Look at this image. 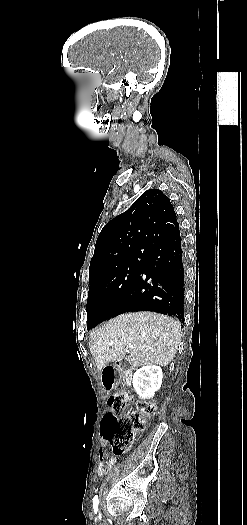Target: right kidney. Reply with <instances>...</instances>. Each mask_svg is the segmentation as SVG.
Here are the masks:
<instances>
[{
	"mask_svg": "<svg viewBox=\"0 0 247 525\" xmlns=\"http://www.w3.org/2000/svg\"><path fill=\"white\" fill-rule=\"evenodd\" d=\"M163 373L161 367L150 365V367H141L133 375L132 385L134 391L141 399H152L156 391L162 385Z\"/></svg>",
	"mask_w": 247,
	"mask_h": 525,
	"instance_id": "right-kidney-1",
	"label": "right kidney"
}]
</instances>
